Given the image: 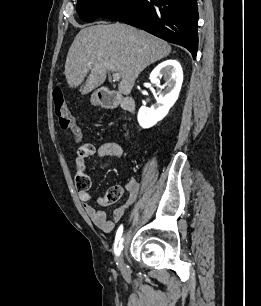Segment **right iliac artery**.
<instances>
[{"label": "right iliac artery", "mask_w": 261, "mask_h": 306, "mask_svg": "<svg viewBox=\"0 0 261 306\" xmlns=\"http://www.w3.org/2000/svg\"><path fill=\"white\" fill-rule=\"evenodd\" d=\"M122 234H123V225H120L117 232H116V236H115V254L116 256H120L121 251L123 249V238H122ZM119 243V246H118Z\"/></svg>", "instance_id": "82829eb1"}]
</instances>
